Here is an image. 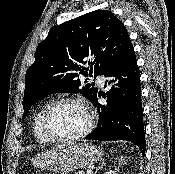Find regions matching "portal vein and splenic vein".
<instances>
[{"instance_id":"portal-vein-and-splenic-vein-1","label":"portal vein and splenic vein","mask_w":175,"mask_h":174,"mask_svg":"<svg viewBox=\"0 0 175 174\" xmlns=\"http://www.w3.org/2000/svg\"><path fill=\"white\" fill-rule=\"evenodd\" d=\"M87 174H92V170H87Z\"/></svg>"}]
</instances>
